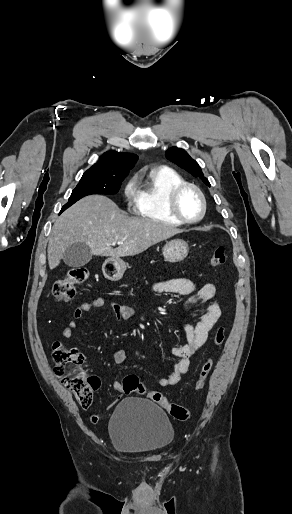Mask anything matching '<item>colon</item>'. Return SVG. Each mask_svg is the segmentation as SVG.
<instances>
[{"mask_svg": "<svg viewBox=\"0 0 292 514\" xmlns=\"http://www.w3.org/2000/svg\"><path fill=\"white\" fill-rule=\"evenodd\" d=\"M225 262L226 249L221 245L216 246L210 257L211 267L223 266ZM89 276L90 272L87 268H70L64 276L54 282L53 294L55 299L61 303L69 302L74 297L76 289L82 286ZM225 337L226 327L223 325L216 327L212 338V346L214 348L220 346ZM52 358L54 361V374L63 380L66 389L73 394L77 404L82 408L90 407L94 400V392L100 388V378L82 369L85 361L84 354L75 348L67 347L63 343L55 341L52 344ZM212 367V355H208L201 365L195 390L201 391L204 389ZM122 388L126 394H132L135 391L144 393L146 390L139 377L135 374H129L123 378ZM146 395L175 419L185 420L190 416V412L186 407L169 401L159 391H147ZM94 419L95 416H92L91 420Z\"/></svg>", "mask_w": 292, "mask_h": 514, "instance_id": "5ec220e1", "label": "colon"}]
</instances>
